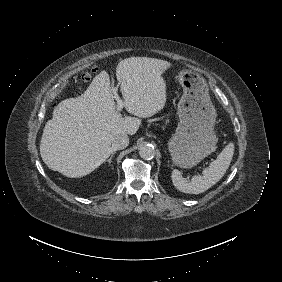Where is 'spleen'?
<instances>
[{
  "label": "spleen",
  "instance_id": "obj_1",
  "mask_svg": "<svg viewBox=\"0 0 282 282\" xmlns=\"http://www.w3.org/2000/svg\"><path fill=\"white\" fill-rule=\"evenodd\" d=\"M234 154V144L229 143L222 152L212 161L209 167L203 170L202 176H194L191 181L181 176L179 170L172 172L174 186L184 193L199 194L216 184L226 173Z\"/></svg>",
  "mask_w": 282,
  "mask_h": 282
}]
</instances>
